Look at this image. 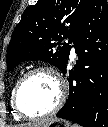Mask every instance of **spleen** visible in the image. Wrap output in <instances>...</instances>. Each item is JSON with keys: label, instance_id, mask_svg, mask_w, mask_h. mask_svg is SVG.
Wrapping results in <instances>:
<instances>
[{"label": "spleen", "instance_id": "spleen-1", "mask_svg": "<svg viewBox=\"0 0 108 127\" xmlns=\"http://www.w3.org/2000/svg\"><path fill=\"white\" fill-rule=\"evenodd\" d=\"M73 127H81V126H79L78 124H74Z\"/></svg>", "mask_w": 108, "mask_h": 127}]
</instances>
